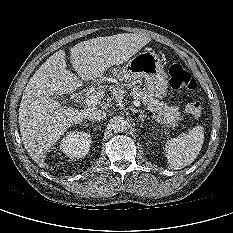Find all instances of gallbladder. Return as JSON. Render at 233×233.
I'll return each mask as SVG.
<instances>
[{"label": "gallbladder", "instance_id": "gallbladder-1", "mask_svg": "<svg viewBox=\"0 0 233 233\" xmlns=\"http://www.w3.org/2000/svg\"><path fill=\"white\" fill-rule=\"evenodd\" d=\"M56 100L59 101V102H61V103H63L62 99H60L59 96L56 97Z\"/></svg>", "mask_w": 233, "mask_h": 233}]
</instances>
